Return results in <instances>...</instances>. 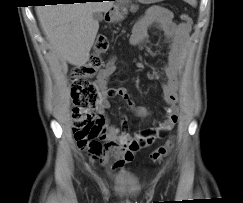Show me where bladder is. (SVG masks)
<instances>
[{"label": "bladder", "mask_w": 243, "mask_h": 203, "mask_svg": "<svg viewBox=\"0 0 243 203\" xmlns=\"http://www.w3.org/2000/svg\"><path fill=\"white\" fill-rule=\"evenodd\" d=\"M114 180L128 182L134 178V175L127 171L118 172L112 177Z\"/></svg>", "instance_id": "obj_1"}]
</instances>
